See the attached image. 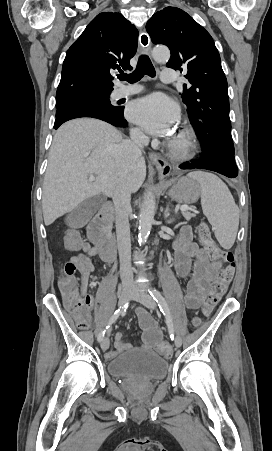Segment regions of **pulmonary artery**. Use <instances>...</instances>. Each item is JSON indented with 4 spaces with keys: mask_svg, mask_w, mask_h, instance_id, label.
Wrapping results in <instances>:
<instances>
[{
    "mask_svg": "<svg viewBox=\"0 0 272 451\" xmlns=\"http://www.w3.org/2000/svg\"><path fill=\"white\" fill-rule=\"evenodd\" d=\"M160 78L164 81L167 82V84L172 85L175 82V71L172 69L171 66L169 65H164L162 67V70L160 71ZM127 90H122V89H118L115 90L112 93V98L115 100H118L120 98H124V97H128L132 94H135L136 92L134 91H129L131 88L128 86L126 88Z\"/></svg>",
    "mask_w": 272,
    "mask_h": 451,
    "instance_id": "pulmonary-artery-1",
    "label": "pulmonary artery"
}]
</instances>
